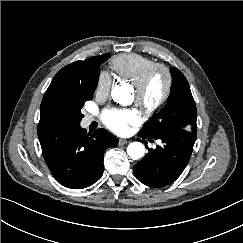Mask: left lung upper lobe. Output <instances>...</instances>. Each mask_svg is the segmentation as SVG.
<instances>
[{
  "instance_id": "obj_1",
  "label": "left lung upper lobe",
  "mask_w": 243,
  "mask_h": 243,
  "mask_svg": "<svg viewBox=\"0 0 243 243\" xmlns=\"http://www.w3.org/2000/svg\"><path fill=\"white\" fill-rule=\"evenodd\" d=\"M173 93L166 107L147 122L141 133L156 139L169 134L191 142L197 135V111L188 81L177 68H173Z\"/></svg>"
}]
</instances>
